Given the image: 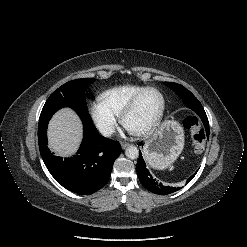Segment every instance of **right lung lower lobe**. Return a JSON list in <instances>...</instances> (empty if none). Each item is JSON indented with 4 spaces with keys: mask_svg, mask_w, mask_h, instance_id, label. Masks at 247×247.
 <instances>
[{
    "mask_svg": "<svg viewBox=\"0 0 247 247\" xmlns=\"http://www.w3.org/2000/svg\"><path fill=\"white\" fill-rule=\"evenodd\" d=\"M71 107L84 124V137L77 154L62 159L47 147V125L52 115L62 107ZM38 143L42 159L54 177L64 188L77 194H92L109 181L113 163L121 153L119 142L101 136L87 110L62 101L46 102L39 118Z\"/></svg>",
    "mask_w": 247,
    "mask_h": 247,
    "instance_id": "1",
    "label": "right lung lower lobe"
}]
</instances>
